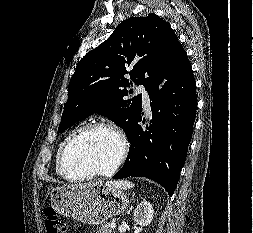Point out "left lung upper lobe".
Here are the masks:
<instances>
[{
	"label": "left lung upper lobe",
	"instance_id": "1",
	"mask_svg": "<svg viewBox=\"0 0 253 233\" xmlns=\"http://www.w3.org/2000/svg\"><path fill=\"white\" fill-rule=\"evenodd\" d=\"M177 44L170 25L154 13L120 23L78 63L58 133L99 112L128 135L141 107V94L125 100L132 93L126 88L143 84L147 90L163 74Z\"/></svg>",
	"mask_w": 253,
	"mask_h": 233
}]
</instances>
